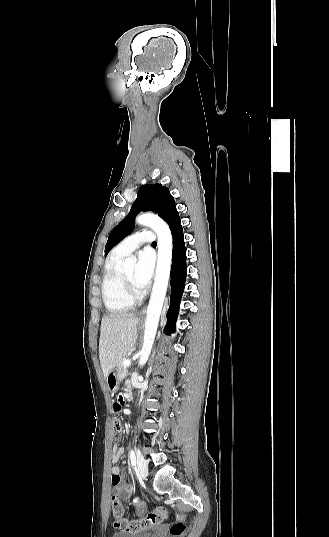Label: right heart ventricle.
Instances as JSON below:
<instances>
[{"label":"right heart ventricle","instance_id":"right-heart-ventricle-1","mask_svg":"<svg viewBox=\"0 0 329 537\" xmlns=\"http://www.w3.org/2000/svg\"><path fill=\"white\" fill-rule=\"evenodd\" d=\"M122 256L112 254L106 262L101 282L104 305L111 314L123 313L133 308L134 302L124 292L118 265Z\"/></svg>","mask_w":329,"mask_h":537}]
</instances>
